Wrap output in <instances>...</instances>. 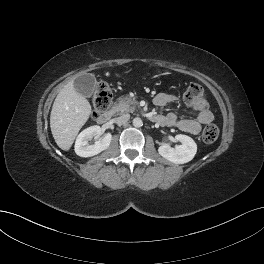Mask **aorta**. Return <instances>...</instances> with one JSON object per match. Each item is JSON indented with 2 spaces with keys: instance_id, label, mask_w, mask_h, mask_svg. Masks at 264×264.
<instances>
[{
  "instance_id": "1",
  "label": "aorta",
  "mask_w": 264,
  "mask_h": 264,
  "mask_svg": "<svg viewBox=\"0 0 264 264\" xmlns=\"http://www.w3.org/2000/svg\"><path fill=\"white\" fill-rule=\"evenodd\" d=\"M143 125V122L141 120V118L136 117L133 119V126L134 127H141Z\"/></svg>"
}]
</instances>
